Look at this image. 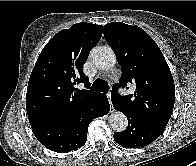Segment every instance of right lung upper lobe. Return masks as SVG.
Segmentation results:
<instances>
[{"label": "right lung upper lobe", "instance_id": "right-lung-upper-lobe-1", "mask_svg": "<svg viewBox=\"0 0 196 166\" xmlns=\"http://www.w3.org/2000/svg\"><path fill=\"white\" fill-rule=\"evenodd\" d=\"M103 26L78 23L56 33L41 51L29 78L26 109L32 129L75 117L101 93L76 88L89 80L83 74L90 50L100 40Z\"/></svg>", "mask_w": 196, "mask_h": 166}]
</instances>
